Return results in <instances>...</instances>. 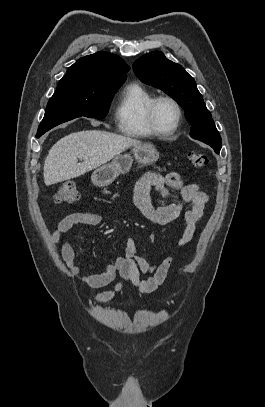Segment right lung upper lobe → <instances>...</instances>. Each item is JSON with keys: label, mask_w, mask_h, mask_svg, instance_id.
I'll use <instances>...</instances> for the list:
<instances>
[{"label": "right lung upper lobe", "mask_w": 265, "mask_h": 407, "mask_svg": "<svg viewBox=\"0 0 265 407\" xmlns=\"http://www.w3.org/2000/svg\"><path fill=\"white\" fill-rule=\"evenodd\" d=\"M130 67L117 55L107 52H97L80 58L70 66L62 79H72L78 82L105 81L124 83Z\"/></svg>", "instance_id": "1"}]
</instances>
